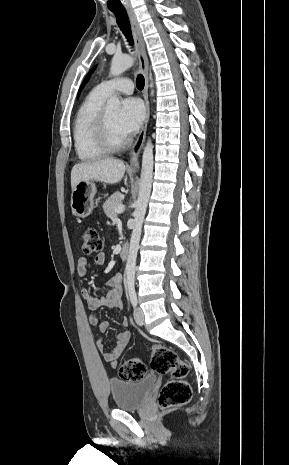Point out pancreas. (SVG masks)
<instances>
[{
    "mask_svg": "<svg viewBox=\"0 0 289 465\" xmlns=\"http://www.w3.org/2000/svg\"><path fill=\"white\" fill-rule=\"evenodd\" d=\"M122 198L123 195L119 192H116L111 195V197L108 198L103 204L104 212L109 218H113L117 215L116 209L122 205Z\"/></svg>",
    "mask_w": 289,
    "mask_h": 465,
    "instance_id": "1",
    "label": "pancreas"
}]
</instances>
